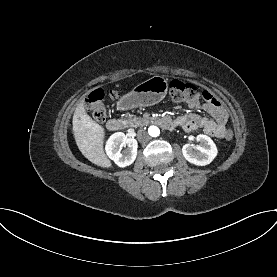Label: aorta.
<instances>
[{
    "mask_svg": "<svg viewBox=\"0 0 277 277\" xmlns=\"http://www.w3.org/2000/svg\"><path fill=\"white\" fill-rule=\"evenodd\" d=\"M148 132H149L150 136H152V137H157L160 134V130L156 126H150L148 129Z\"/></svg>",
    "mask_w": 277,
    "mask_h": 277,
    "instance_id": "obj_1",
    "label": "aorta"
}]
</instances>
